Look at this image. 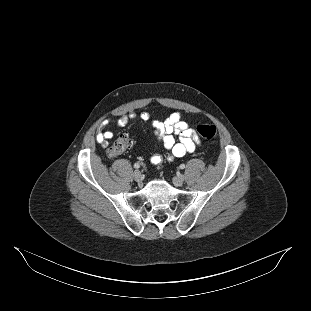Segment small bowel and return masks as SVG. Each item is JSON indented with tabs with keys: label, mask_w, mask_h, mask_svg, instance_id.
<instances>
[{
	"label": "small bowel",
	"mask_w": 311,
	"mask_h": 311,
	"mask_svg": "<svg viewBox=\"0 0 311 311\" xmlns=\"http://www.w3.org/2000/svg\"><path fill=\"white\" fill-rule=\"evenodd\" d=\"M141 119L150 121L154 134L162 143L163 147L169 152L167 159L182 158L187 153L193 152L199 145L200 141L195 131L182 119L178 112L171 113L164 121L152 120L150 116L143 112L138 114L123 115L115 122L117 127H124L129 120ZM111 120L106 119L101 122L96 134V141L107 146L113 133L106 130L110 126ZM174 135L178 136V139ZM154 164H160L163 157L155 154L151 157Z\"/></svg>",
	"instance_id": "obj_1"
}]
</instances>
